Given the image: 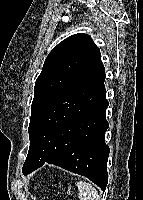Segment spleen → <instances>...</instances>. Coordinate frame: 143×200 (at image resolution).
<instances>
[{"label": "spleen", "mask_w": 143, "mask_h": 200, "mask_svg": "<svg viewBox=\"0 0 143 200\" xmlns=\"http://www.w3.org/2000/svg\"><path fill=\"white\" fill-rule=\"evenodd\" d=\"M79 200H101L96 188L86 181H79L77 184Z\"/></svg>", "instance_id": "1"}]
</instances>
